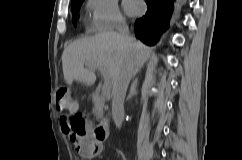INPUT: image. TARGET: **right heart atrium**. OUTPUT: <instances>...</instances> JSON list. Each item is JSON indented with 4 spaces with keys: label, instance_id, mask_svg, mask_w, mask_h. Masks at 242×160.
<instances>
[{
    "label": "right heart atrium",
    "instance_id": "d8ad5b80",
    "mask_svg": "<svg viewBox=\"0 0 242 160\" xmlns=\"http://www.w3.org/2000/svg\"><path fill=\"white\" fill-rule=\"evenodd\" d=\"M87 10L95 31H110L125 25L117 0H87Z\"/></svg>",
    "mask_w": 242,
    "mask_h": 160
}]
</instances>
